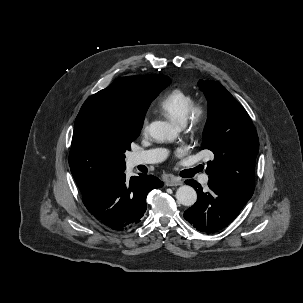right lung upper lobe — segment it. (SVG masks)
<instances>
[{
	"instance_id": "right-lung-upper-lobe-1",
	"label": "right lung upper lobe",
	"mask_w": 303,
	"mask_h": 303,
	"mask_svg": "<svg viewBox=\"0 0 303 303\" xmlns=\"http://www.w3.org/2000/svg\"><path fill=\"white\" fill-rule=\"evenodd\" d=\"M169 83L168 76L159 74L122 77L84 102L75 120L69 154L70 168L77 167L90 173L80 191L97 178L125 170L108 152L90 141L85 113L93 108H115L128 118L131 127L141 128L147 108L157 97V90Z\"/></svg>"
}]
</instances>
